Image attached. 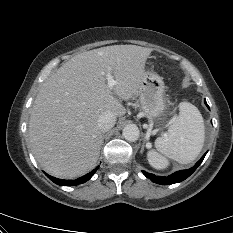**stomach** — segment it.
I'll return each instance as SVG.
<instances>
[{
    "label": "stomach",
    "instance_id": "0dacf381",
    "mask_svg": "<svg viewBox=\"0 0 233 233\" xmlns=\"http://www.w3.org/2000/svg\"><path fill=\"white\" fill-rule=\"evenodd\" d=\"M140 104L146 117L153 122L161 123L167 107L165 84L158 74L146 71L140 83Z\"/></svg>",
    "mask_w": 233,
    "mask_h": 233
}]
</instances>
